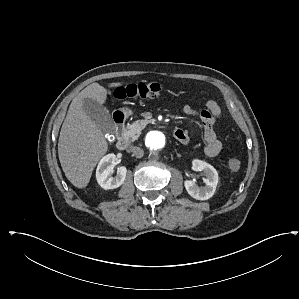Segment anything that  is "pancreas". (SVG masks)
<instances>
[{
  "label": "pancreas",
  "instance_id": "pancreas-1",
  "mask_svg": "<svg viewBox=\"0 0 299 299\" xmlns=\"http://www.w3.org/2000/svg\"><path fill=\"white\" fill-rule=\"evenodd\" d=\"M147 125V121L138 120L129 124L125 130L122 132V137L125 140H129L131 142L135 141L141 134V131Z\"/></svg>",
  "mask_w": 299,
  "mask_h": 299
}]
</instances>
